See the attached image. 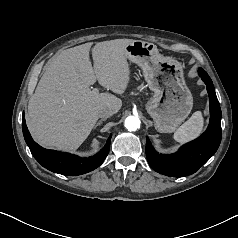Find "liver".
<instances>
[{
  "instance_id": "1",
  "label": "liver",
  "mask_w": 238,
  "mask_h": 238,
  "mask_svg": "<svg viewBox=\"0 0 238 238\" xmlns=\"http://www.w3.org/2000/svg\"><path fill=\"white\" fill-rule=\"evenodd\" d=\"M132 39L91 43L62 51L53 58L28 102L27 126L33 139L47 148L76 150L88 137L107 106L117 113L122 101L110 93L90 89L96 80L116 94L130 81L126 45Z\"/></svg>"
}]
</instances>
